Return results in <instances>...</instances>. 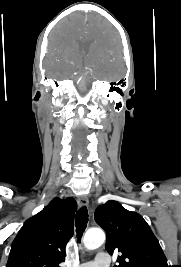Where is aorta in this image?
<instances>
[{
    "label": "aorta",
    "mask_w": 181,
    "mask_h": 267,
    "mask_svg": "<svg viewBox=\"0 0 181 267\" xmlns=\"http://www.w3.org/2000/svg\"><path fill=\"white\" fill-rule=\"evenodd\" d=\"M105 233L100 229H89L83 239V244L86 249L94 250L100 247L105 242Z\"/></svg>",
    "instance_id": "aorta-1"
}]
</instances>
